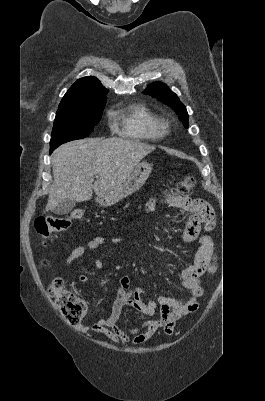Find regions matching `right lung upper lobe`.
Instances as JSON below:
<instances>
[{
	"label": "right lung upper lobe",
	"instance_id": "right-lung-upper-lobe-1",
	"mask_svg": "<svg viewBox=\"0 0 265 401\" xmlns=\"http://www.w3.org/2000/svg\"><path fill=\"white\" fill-rule=\"evenodd\" d=\"M107 93L108 90L96 77H83L70 87L59 106L81 101L106 99Z\"/></svg>",
	"mask_w": 265,
	"mask_h": 401
}]
</instances>
